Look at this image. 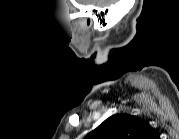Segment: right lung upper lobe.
Listing matches in <instances>:
<instances>
[{"instance_id":"right-lung-upper-lobe-1","label":"right lung upper lobe","mask_w":179,"mask_h":139,"mask_svg":"<svg viewBox=\"0 0 179 139\" xmlns=\"http://www.w3.org/2000/svg\"><path fill=\"white\" fill-rule=\"evenodd\" d=\"M155 130L144 120L129 114H116L107 118L85 139H148Z\"/></svg>"}]
</instances>
